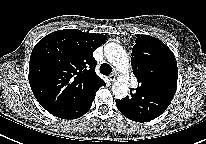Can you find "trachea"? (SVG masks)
<instances>
[{
	"instance_id": "1",
	"label": "trachea",
	"mask_w": 206,
	"mask_h": 144,
	"mask_svg": "<svg viewBox=\"0 0 206 144\" xmlns=\"http://www.w3.org/2000/svg\"><path fill=\"white\" fill-rule=\"evenodd\" d=\"M100 72L103 74V75H110L111 72H112V67L108 64V63H103L101 64L100 66Z\"/></svg>"
}]
</instances>
